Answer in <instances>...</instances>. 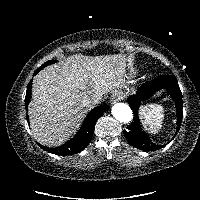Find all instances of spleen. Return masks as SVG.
I'll list each match as a JSON object with an SVG mask.
<instances>
[{"instance_id":"obj_1","label":"spleen","mask_w":200,"mask_h":200,"mask_svg":"<svg viewBox=\"0 0 200 200\" xmlns=\"http://www.w3.org/2000/svg\"><path fill=\"white\" fill-rule=\"evenodd\" d=\"M143 125L151 133L156 134L162 128L164 109L160 104H147L140 109Z\"/></svg>"}]
</instances>
